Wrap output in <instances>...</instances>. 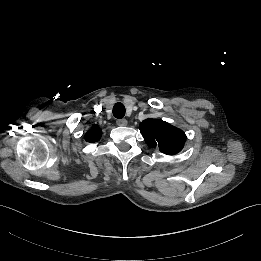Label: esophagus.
I'll list each match as a JSON object with an SVG mask.
<instances>
[{
    "label": "esophagus",
    "instance_id": "1",
    "mask_svg": "<svg viewBox=\"0 0 261 261\" xmlns=\"http://www.w3.org/2000/svg\"><path fill=\"white\" fill-rule=\"evenodd\" d=\"M116 124H117L118 126H126V125H127V120H126V119H118V120L116 121Z\"/></svg>",
    "mask_w": 261,
    "mask_h": 261
}]
</instances>
